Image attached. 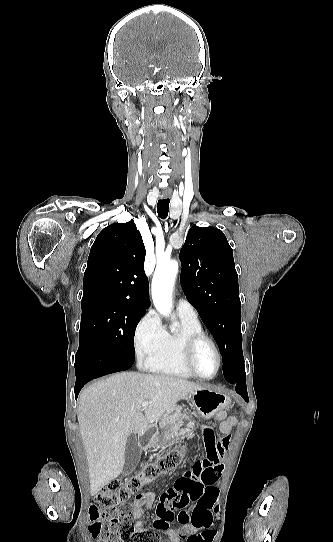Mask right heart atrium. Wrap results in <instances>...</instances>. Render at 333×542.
<instances>
[{
  "label": "right heart atrium",
  "mask_w": 333,
  "mask_h": 542,
  "mask_svg": "<svg viewBox=\"0 0 333 542\" xmlns=\"http://www.w3.org/2000/svg\"><path fill=\"white\" fill-rule=\"evenodd\" d=\"M134 336L136 350L141 352L144 348L158 345L165 336V329L157 315L149 312L136 326Z\"/></svg>",
  "instance_id": "d8ad5b80"
}]
</instances>
